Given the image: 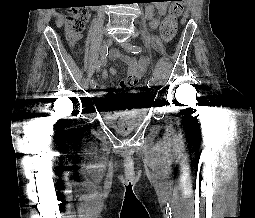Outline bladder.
<instances>
[{"mask_svg": "<svg viewBox=\"0 0 255 218\" xmlns=\"http://www.w3.org/2000/svg\"><path fill=\"white\" fill-rule=\"evenodd\" d=\"M135 122H136V118L130 117V118H127L121 122H118L115 127L118 131H124V130L132 128L134 126Z\"/></svg>", "mask_w": 255, "mask_h": 218, "instance_id": "31cf9c89", "label": "bladder"}]
</instances>
